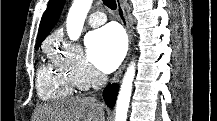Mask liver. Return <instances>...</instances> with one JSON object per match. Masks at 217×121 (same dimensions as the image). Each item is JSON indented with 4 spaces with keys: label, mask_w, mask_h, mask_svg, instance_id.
<instances>
[{
    "label": "liver",
    "mask_w": 217,
    "mask_h": 121,
    "mask_svg": "<svg viewBox=\"0 0 217 121\" xmlns=\"http://www.w3.org/2000/svg\"><path fill=\"white\" fill-rule=\"evenodd\" d=\"M103 105L94 98H70L37 111V121H104Z\"/></svg>",
    "instance_id": "obj_1"
}]
</instances>
